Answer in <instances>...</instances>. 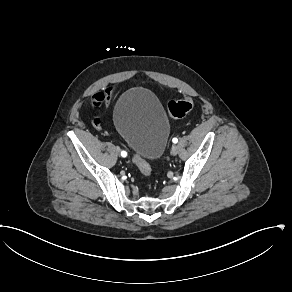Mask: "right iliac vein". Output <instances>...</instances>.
Here are the masks:
<instances>
[{
    "label": "right iliac vein",
    "mask_w": 292,
    "mask_h": 292,
    "mask_svg": "<svg viewBox=\"0 0 292 292\" xmlns=\"http://www.w3.org/2000/svg\"><path fill=\"white\" fill-rule=\"evenodd\" d=\"M115 150H116L117 153H119V151H120L119 147H116Z\"/></svg>",
    "instance_id": "1"
}]
</instances>
